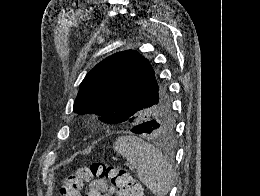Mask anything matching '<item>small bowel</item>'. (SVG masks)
Returning <instances> with one entry per match:
<instances>
[{"mask_svg":"<svg viewBox=\"0 0 260 196\" xmlns=\"http://www.w3.org/2000/svg\"><path fill=\"white\" fill-rule=\"evenodd\" d=\"M86 196H110L108 182L103 178L91 181L87 187Z\"/></svg>","mask_w":260,"mask_h":196,"instance_id":"small-bowel-1","label":"small bowel"}]
</instances>
